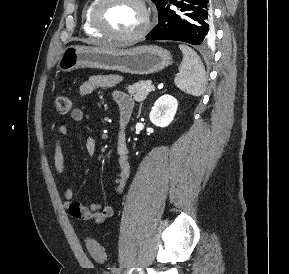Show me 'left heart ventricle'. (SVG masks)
Wrapping results in <instances>:
<instances>
[{"instance_id": "obj_1", "label": "left heart ventricle", "mask_w": 289, "mask_h": 274, "mask_svg": "<svg viewBox=\"0 0 289 274\" xmlns=\"http://www.w3.org/2000/svg\"><path fill=\"white\" fill-rule=\"evenodd\" d=\"M101 19L111 31L131 34L142 27L144 13L141 7L132 0H114L105 6Z\"/></svg>"}]
</instances>
